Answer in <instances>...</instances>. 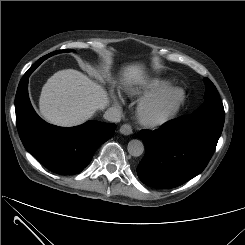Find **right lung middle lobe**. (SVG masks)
I'll return each instance as SVG.
<instances>
[{
    "label": "right lung middle lobe",
    "instance_id": "dd1d6c3e",
    "mask_svg": "<svg viewBox=\"0 0 245 245\" xmlns=\"http://www.w3.org/2000/svg\"><path fill=\"white\" fill-rule=\"evenodd\" d=\"M66 51H71L70 49H66V50H60V51H56V52H53L49 55H52V54H56V53H59V52H66ZM42 60H40V63H41Z\"/></svg>",
    "mask_w": 245,
    "mask_h": 245
}]
</instances>
